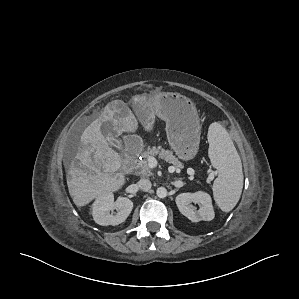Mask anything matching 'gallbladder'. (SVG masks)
<instances>
[{"label":"gallbladder","instance_id":"bac80fb5","mask_svg":"<svg viewBox=\"0 0 299 299\" xmlns=\"http://www.w3.org/2000/svg\"><path fill=\"white\" fill-rule=\"evenodd\" d=\"M101 132L102 134L107 137L110 141V144L113 147H116L117 149L121 150L122 149V144L120 141H118L117 139H115V131H114V127L113 124L111 122H105L102 124L101 126Z\"/></svg>","mask_w":299,"mask_h":299}]
</instances>
